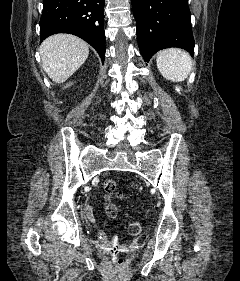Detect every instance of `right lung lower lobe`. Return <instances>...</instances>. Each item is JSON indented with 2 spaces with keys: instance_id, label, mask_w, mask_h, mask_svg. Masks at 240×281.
Segmentation results:
<instances>
[{
  "instance_id": "right-lung-lower-lobe-1",
  "label": "right lung lower lobe",
  "mask_w": 240,
  "mask_h": 281,
  "mask_svg": "<svg viewBox=\"0 0 240 281\" xmlns=\"http://www.w3.org/2000/svg\"><path fill=\"white\" fill-rule=\"evenodd\" d=\"M40 19V39L56 33L74 34L105 59L104 5L105 0H44Z\"/></svg>"
}]
</instances>
